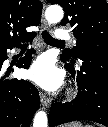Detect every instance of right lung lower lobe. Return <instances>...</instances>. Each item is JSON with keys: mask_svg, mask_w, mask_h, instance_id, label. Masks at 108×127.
Masks as SVG:
<instances>
[{"mask_svg": "<svg viewBox=\"0 0 108 127\" xmlns=\"http://www.w3.org/2000/svg\"><path fill=\"white\" fill-rule=\"evenodd\" d=\"M35 32L26 38L33 39ZM23 41V40H22ZM21 42V41H20ZM0 46V126L29 127L34 113L40 106L39 93L36 87L28 81L6 79L2 76L1 66L7 59L6 50L19 47V43ZM34 50H28L17 63L19 68L30 66Z\"/></svg>", "mask_w": 108, "mask_h": 127, "instance_id": "right-lung-lower-lobe-1", "label": "right lung lower lobe"}]
</instances>
